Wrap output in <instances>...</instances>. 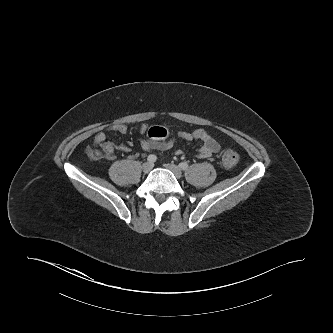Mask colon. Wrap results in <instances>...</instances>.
I'll list each match as a JSON object with an SVG mask.
<instances>
[{"instance_id":"5ec220e1","label":"colon","mask_w":333,"mask_h":333,"mask_svg":"<svg viewBox=\"0 0 333 333\" xmlns=\"http://www.w3.org/2000/svg\"><path fill=\"white\" fill-rule=\"evenodd\" d=\"M169 134V131L162 126H153L148 130V136L156 139L163 140ZM88 156L91 160H99L103 157V151L100 147H93L88 149ZM239 156L234 150L228 149L225 150L222 154V162L227 167H232L237 164Z\"/></svg>"}]
</instances>
